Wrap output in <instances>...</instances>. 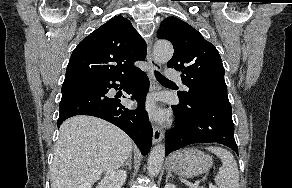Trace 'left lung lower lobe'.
<instances>
[{"instance_id":"1","label":"left lung lower lobe","mask_w":292,"mask_h":188,"mask_svg":"<svg viewBox=\"0 0 292 188\" xmlns=\"http://www.w3.org/2000/svg\"><path fill=\"white\" fill-rule=\"evenodd\" d=\"M171 108L177 126L165 134L166 156L193 143L216 142L237 151L230 103L180 99V103Z\"/></svg>"}]
</instances>
